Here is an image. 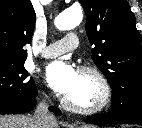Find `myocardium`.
Here are the masks:
<instances>
[{"instance_id":"1","label":"myocardium","mask_w":142,"mask_h":128,"mask_svg":"<svg viewBox=\"0 0 142 128\" xmlns=\"http://www.w3.org/2000/svg\"><path fill=\"white\" fill-rule=\"evenodd\" d=\"M80 74L90 76L97 82L100 89L99 98L92 105L83 106L66 97L63 100L64 106L71 111L81 114H95L103 111L108 107L112 98V89L108 79L99 69L88 65L81 66Z\"/></svg>"}]
</instances>
